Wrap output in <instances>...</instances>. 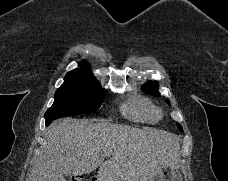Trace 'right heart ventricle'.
<instances>
[{"instance_id":"1","label":"right heart ventricle","mask_w":228,"mask_h":181,"mask_svg":"<svg viewBox=\"0 0 228 181\" xmlns=\"http://www.w3.org/2000/svg\"><path fill=\"white\" fill-rule=\"evenodd\" d=\"M125 111L129 114V116L141 120H152L155 118V112L147 108H138L133 106L130 109H126Z\"/></svg>"}]
</instances>
